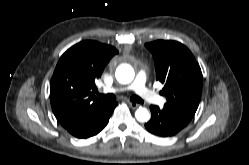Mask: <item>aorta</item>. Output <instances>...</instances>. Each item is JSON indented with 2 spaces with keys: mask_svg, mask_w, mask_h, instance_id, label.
<instances>
[{
  "mask_svg": "<svg viewBox=\"0 0 249 165\" xmlns=\"http://www.w3.org/2000/svg\"><path fill=\"white\" fill-rule=\"evenodd\" d=\"M134 70L129 65H121L117 68L115 76L122 84H128L134 79ZM135 117L139 122H147L150 120V113L146 108L139 107L135 112Z\"/></svg>",
  "mask_w": 249,
  "mask_h": 165,
  "instance_id": "1",
  "label": "aorta"
}]
</instances>
